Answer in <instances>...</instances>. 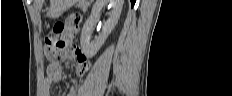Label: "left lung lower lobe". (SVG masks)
I'll return each instance as SVG.
<instances>
[{
	"label": "left lung lower lobe",
	"instance_id": "0a47b994",
	"mask_svg": "<svg viewBox=\"0 0 232 96\" xmlns=\"http://www.w3.org/2000/svg\"><path fill=\"white\" fill-rule=\"evenodd\" d=\"M136 0H131V5L133 6L135 4Z\"/></svg>",
	"mask_w": 232,
	"mask_h": 96
}]
</instances>
